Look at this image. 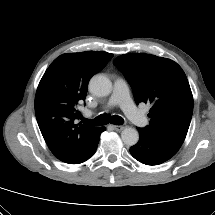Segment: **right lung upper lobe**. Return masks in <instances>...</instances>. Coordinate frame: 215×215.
<instances>
[{"instance_id": "obj_1", "label": "right lung upper lobe", "mask_w": 215, "mask_h": 215, "mask_svg": "<svg viewBox=\"0 0 215 215\" xmlns=\"http://www.w3.org/2000/svg\"><path fill=\"white\" fill-rule=\"evenodd\" d=\"M113 54L86 51L63 54L44 73L35 96L36 119L51 152L69 164L81 163L94 145L101 127L77 119L90 78L111 60Z\"/></svg>"}]
</instances>
